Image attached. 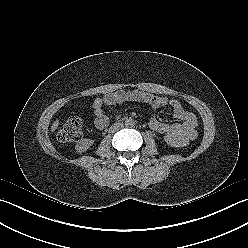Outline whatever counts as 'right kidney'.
<instances>
[{
    "instance_id": "ca27d5eb",
    "label": "right kidney",
    "mask_w": 248,
    "mask_h": 248,
    "mask_svg": "<svg viewBox=\"0 0 248 248\" xmlns=\"http://www.w3.org/2000/svg\"><path fill=\"white\" fill-rule=\"evenodd\" d=\"M93 144L92 139H82L75 147L77 153H83Z\"/></svg>"
}]
</instances>
